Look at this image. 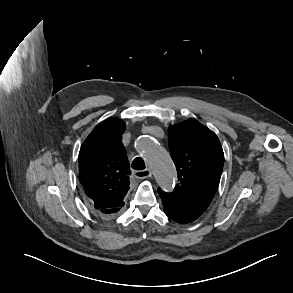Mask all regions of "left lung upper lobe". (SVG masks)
I'll use <instances>...</instances> for the list:
<instances>
[{"mask_svg": "<svg viewBox=\"0 0 293 293\" xmlns=\"http://www.w3.org/2000/svg\"><path fill=\"white\" fill-rule=\"evenodd\" d=\"M170 154L179 183L167 195L202 214L218 188L224 153L216 134L195 119L168 129Z\"/></svg>", "mask_w": 293, "mask_h": 293, "instance_id": "5c2ea615", "label": "left lung upper lobe"}]
</instances>
